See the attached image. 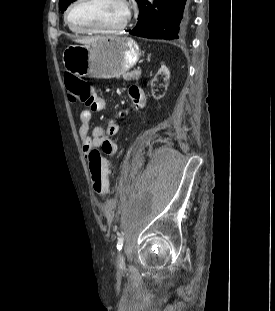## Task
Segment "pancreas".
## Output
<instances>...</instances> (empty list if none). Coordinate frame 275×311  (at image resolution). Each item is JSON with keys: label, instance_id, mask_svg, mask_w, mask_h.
I'll list each match as a JSON object with an SVG mask.
<instances>
[{"label": "pancreas", "instance_id": "pancreas-1", "mask_svg": "<svg viewBox=\"0 0 275 311\" xmlns=\"http://www.w3.org/2000/svg\"><path fill=\"white\" fill-rule=\"evenodd\" d=\"M140 75H141L140 72H138L137 70H134L132 72L124 73L122 77L126 81H131V80H137Z\"/></svg>", "mask_w": 275, "mask_h": 311}]
</instances>
